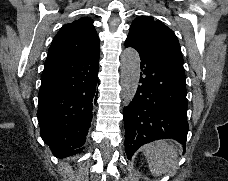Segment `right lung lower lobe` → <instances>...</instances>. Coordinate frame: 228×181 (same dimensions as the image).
I'll use <instances>...</instances> for the list:
<instances>
[{"label": "right lung lower lobe", "mask_w": 228, "mask_h": 181, "mask_svg": "<svg viewBox=\"0 0 228 181\" xmlns=\"http://www.w3.org/2000/svg\"><path fill=\"white\" fill-rule=\"evenodd\" d=\"M100 49L45 66L37 117L40 135L58 157L80 153L92 120Z\"/></svg>", "instance_id": "98d812e1"}]
</instances>
